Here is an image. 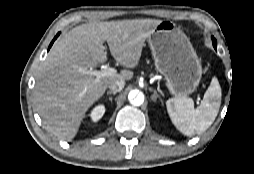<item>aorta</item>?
<instances>
[{
    "mask_svg": "<svg viewBox=\"0 0 254 174\" xmlns=\"http://www.w3.org/2000/svg\"><path fill=\"white\" fill-rule=\"evenodd\" d=\"M128 100L133 106H141L144 102V94L135 89L129 92Z\"/></svg>",
    "mask_w": 254,
    "mask_h": 174,
    "instance_id": "aorta-1",
    "label": "aorta"
}]
</instances>
